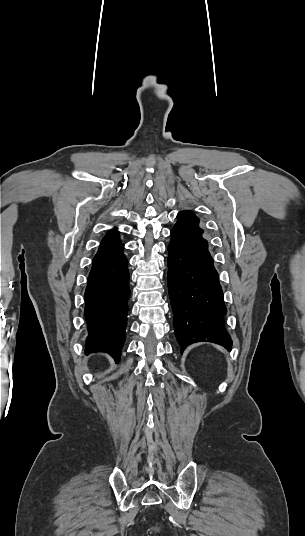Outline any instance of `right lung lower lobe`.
Listing matches in <instances>:
<instances>
[{"label":"right lung lower lobe","instance_id":"98d812e1","mask_svg":"<svg viewBox=\"0 0 305 536\" xmlns=\"http://www.w3.org/2000/svg\"><path fill=\"white\" fill-rule=\"evenodd\" d=\"M124 245L97 252L85 291L86 351L108 352L118 362L125 342L129 272Z\"/></svg>","mask_w":305,"mask_h":536}]
</instances>
